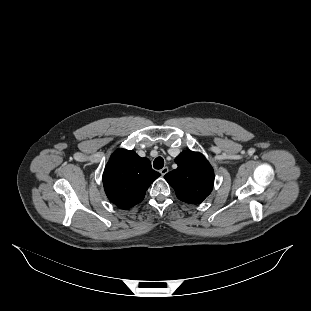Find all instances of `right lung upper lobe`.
<instances>
[{"label":"right lung upper lobe","mask_w":311,"mask_h":311,"mask_svg":"<svg viewBox=\"0 0 311 311\" xmlns=\"http://www.w3.org/2000/svg\"><path fill=\"white\" fill-rule=\"evenodd\" d=\"M161 174L154 171L147 158L134 151L116 150L103 173L107 197L117 207L129 209L144 199L146 190Z\"/></svg>","instance_id":"right-lung-upper-lobe-1"}]
</instances>
